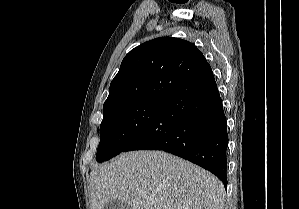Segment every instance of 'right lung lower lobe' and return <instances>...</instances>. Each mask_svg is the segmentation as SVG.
<instances>
[{"label":"right lung lower lobe","instance_id":"obj_1","mask_svg":"<svg viewBox=\"0 0 299 209\" xmlns=\"http://www.w3.org/2000/svg\"><path fill=\"white\" fill-rule=\"evenodd\" d=\"M227 122L212 73L186 81L124 150H164L215 174L227 186Z\"/></svg>","mask_w":299,"mask_h":209}]
</instances>
